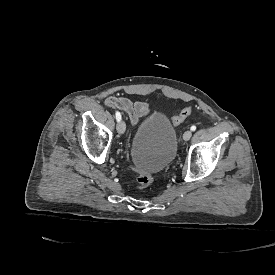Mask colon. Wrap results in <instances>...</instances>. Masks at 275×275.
Segmentation results:
<instances>
[{
	"label": "colon",
	"instance_id": "1",
	"mask_svg": "<svg viewBox=\"0 0 275 275\" xmlns=\"http://www.w3.org/2000/svg\"><path fill=\"white\" fill-rule=\"evenodd\" d=\"M190 112H191L190 109H185L179 115L173 116L170 119V122L173 125H178L179 123L184 121V119L190 114ZM152 180H153V177H152V174L150 172L140 170L138 172V176H137V179H136L137 187L140 188V189H144V188L150 186Z\"/></svg>",
	"mask_w": 275,
	"mask_h": 275
}]
</instances>
